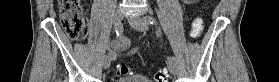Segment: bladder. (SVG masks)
I'll return each instance as SVG.
<instances>
[{
	"label": "bladder",
	"mask_w": 279,
	"mask_h": 82,
	"mask_svg": "<svg viewBox=\"0 0 279 82\" xmlns=\"http://www.w3.org/2000/svg\"><path fill=\"white\" fill-rule=\"evenodd\" d=\"M115 82H153L146 76L140 75V74H127Z\"/></svg>",
	"instance_id": "1"
}]
</instances>
